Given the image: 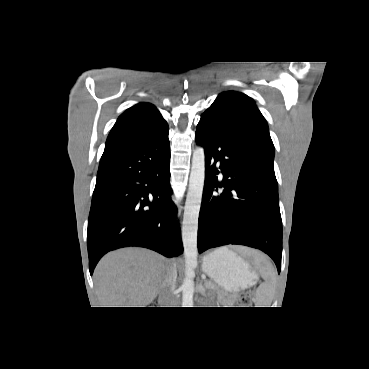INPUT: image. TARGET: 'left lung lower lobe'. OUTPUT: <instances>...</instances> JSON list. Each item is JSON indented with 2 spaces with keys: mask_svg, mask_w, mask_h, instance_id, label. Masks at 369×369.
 I'll use <instances>...</instances> for the list:
<instances>
[{
  "mask_svg": "<svg viewBox=\"0 0 369 369\" xmlns=\"http://www.w3.org/2000/svg\"><path fill=\"white\" fill-rule=\"evenodd\" d=\"M195 138L205 150L199 253L228 244L245 245L268 254L279 273L282 220L273 161L211 117L201 116ZM217 169L223 174L221 181ZM218 187L223 191L218 192Z\"/></svg>",
  "mask_w": 369,
  "mask_h": 369,
  "instance_id": "left-lung-lower-lobe-1",
  "label": "left lung lower lobe"
}]
</instances>
